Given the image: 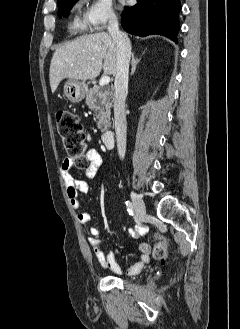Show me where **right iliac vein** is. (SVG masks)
<instances>
[{"mask_svg": "<svg viewBox=\"0 0 240 329\" xmlns=\"http://www.w3.org/2000/svg\"><path fill=\"white\" fill-rule=\"evenodd\" d=\"M131 198L133 201V206L135 209V213L139 219H143L146 216V207L143 199L140 195L135 192L131 193Z\"/></svg>", "mask_w": 240, "mask_h": 329, "instance_id": "obj_1", "label": "right iliac vein"}]
</instances>
